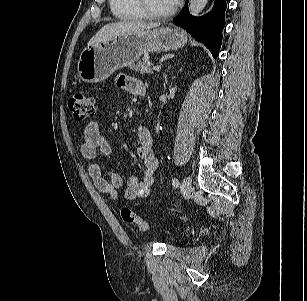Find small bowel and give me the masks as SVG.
Returning a JSON list of instances; mask_svg holds the SVG:
<instances>
[{
  "instance_id": "1",
  "label": "small bowel",
  "mask_w": 307,
  "mask_h": 301,
  "mask_svg": "<svg viewBox=\"0 0 307 301\" xmlns=\"http://www.w3.org/2000/svg\"><path fill=\"white\" fill-rule=\"evenodd\" d=\"M117 85L124 91L136 95L139 94L138 92L141 88H144L140 80L126 75H121L117 78ZM136 135L138 143L136 155L143 162V173L141 180L136 177L129 178L124 189V197L129 200L149 195L158 166L153 150V139L148 129L144 126H139ZM110 152V144L98 124L90 122L84 129L80 153L90 161L88 172L97 190L108 195L111 199H116L122 186L121 178L113 173H110L108 177L104 176L100 165L94 161L98 154L107 156Z\"/></svg>"
}]
</instances>
